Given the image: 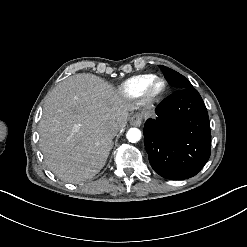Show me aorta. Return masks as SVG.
Here are the masks:
<instances>
[{
	"label": "aorta",
	"instance_id": "obj_1",
	"mask_svg": "<svg viewBox=\"0 0 247 247\" xmlns=\"http://www.w3.org/2000/svg\"><path fill=\"white\" fill-rule=\"evenodd\" d=\"M126 137L129 142L135 143L141 139V131L137 128H130Z\"/></svg>",
	"mask_w": 247,
	"mask_h": 247
}]
</instances>
